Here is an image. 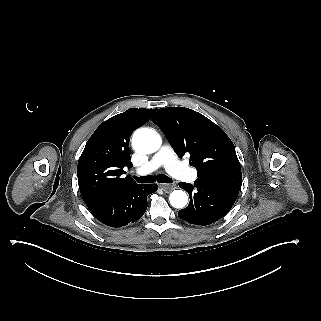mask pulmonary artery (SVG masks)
<instances>
[{
	"mask_svg": "<svg viewBox=\"0 0 321 321\" xmlns=\"http://www.w3.org/2000/svg\"><path fill=\"white\" fill-rule=\"evenodd\" d=\"M173 151L168 149V145H163L153 155L151 160L143 163V170L145 172H153L158 169V166H169L170 174L173 179L190 182L195 179L196 173L191 165L181 166L173 156Z\"/></svg>",
	"mask_w": 321,
	"mask_h": 321,
	"instance_id": "pulmonary-artery-1",
	"label": "pulmonary artery"
}]
</instances>
